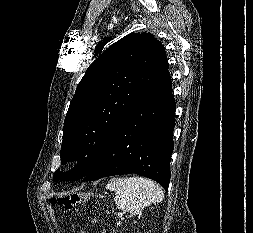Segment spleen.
<instances>
[{
    "instance_id": "1",
    "label": "spleen",
    "mask_w": 253,
    "mask_h": 233,
    "mask_svg": "<svg viewBox=\"0 0 253 233\" xmlns=\"http://www.w3.org/2000/svg\"><path fill=\"white\" fill-rule=\"evenodd\" d=\"M106 189L115 193V204L132 215H139L145 207L164 198L158 184L142 177L115 178L106 185Z\"/></svg>"
}]
</instances>
